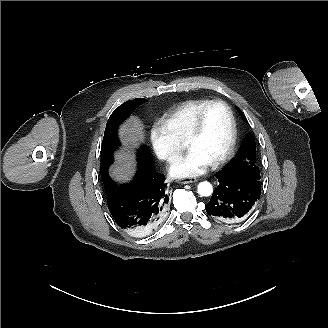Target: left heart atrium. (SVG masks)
<instances>
[{
  "label": "left heart atrium",
  "instance_id": "left-heart-atrium-1",
  "mask_svg": "<svg viewBox=\"0 0 328 328\" xmlns=\"http://www.w3.org/2000/svg\"><path fill=\"white\" fill-rule=\"evenodd\" d=\"M210 165L203 154L195 149H188L170 163L168 170L175 177H192L203 174Z\"/></svg>",
  "mask_w": 328,
  "mask_h": 328
}]
</instances>
